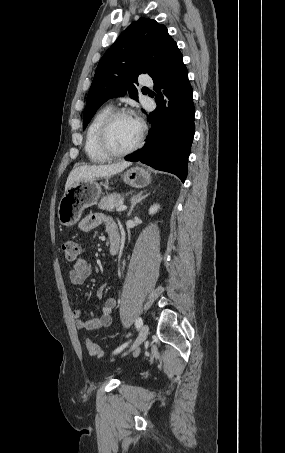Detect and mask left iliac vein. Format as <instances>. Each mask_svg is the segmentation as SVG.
<instances>
[{
    "label": "left iliac vein",
    "instance_id": "4c4485c4",
    "mask_svg": "<svg viewBox=\"0 0 285 453\" xmlns=\"http://www.w3.org/2000/svg\"><path fill=\"white\" fill-rule=\"evenodd\" d=\"M148 332H149V327L147 324H144L141 327L138 337L136 338V340H135L134 344L132 345V347L130 348V350L136 349L142 342H144L145 339L147 338ZM125 354L126 353H124V355Z\"/></svg>",
    "mask_w": 285,
    "mask_h": 453
}]
</instances>
